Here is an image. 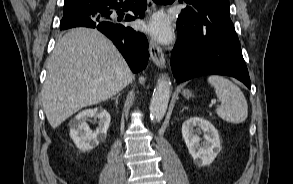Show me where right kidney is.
<instances>
[{
  "mask_svg": "<svg viewBox=\"0 0 293 184\" xmlns=\"http://www.w3.org/2000/svg\"><path fill=\"white\" fill-rule=\"evenodd\" d=\"M89 118L99 120L95 131H92L86 122ZM110 120V114L103 108L84 110L69 122L70 137L80 151H90L106 139Z\"/></svg>",
  "mask_w": 293,
  "mask_h": 184,
  "instance_id": "right-kidney-1",
  "label": "right kidney"
}]
</instances>
